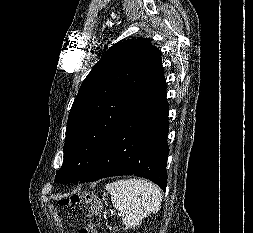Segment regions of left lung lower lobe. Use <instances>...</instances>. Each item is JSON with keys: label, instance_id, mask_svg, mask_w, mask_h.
<instances>
[{"label": "left lung lower lobe", "instance_id": "left-lung-lower-lobe-1", "mask_svg": "<svg viewBox=\"0 0 253 233\" xmlns=\"http://www.w3.org/2000/svg\"><path fill=\"white\" fill-rule=\"evenodd\" d=\"M165 94L162 75L121 119L80 182L135 175L152 180L166 190L169 106Z\"/></svg>", "mask_w": 253, "mask_h": 233}]
</instances>
